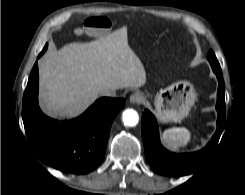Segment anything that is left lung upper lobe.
Returning a JSON list of instances; mask_svg holds the SVG:
<instances>
[{
	"label": "left lung upper lobe",
	"instance_id": "left-lung-upper-lobe-1",
	"mask_svg": "<svg viewBox=\"0 0 245 195\" xmlns=\"http://www.w3.org/2000/svg\"><path fill=\"white\" fill-rule=\"evenodd\" d=\"M207 59L209 61V63L211 64V67L213 70H218L221 71V67L219 65V62L214 54V52L212 50L209 51Z\"/></svg>",
	"mask_w": 245,
	"mask_h": 195
}]
</instances>
